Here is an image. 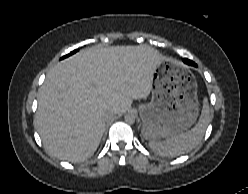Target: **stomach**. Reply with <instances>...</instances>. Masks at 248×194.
I'll use <instances>...</instances> for the list:
<instances>
[{
    "mask_svg": "<svg viewBox=\"0 0 248 194\" xmlns=\"http://www.w3.org/2000/svg\"><path fill=\"white\" fill-rule=\"evenodd\" d=\"M196 88L188 67L164 58L155 72L151 102L139 107L144 138H168L190 128L199 112Z\"/></svg>",
    "mask_w": 248,
    "mask_h": 194,
    "instance_id": "1",
    "label": "stomach"
}]
</instances>
